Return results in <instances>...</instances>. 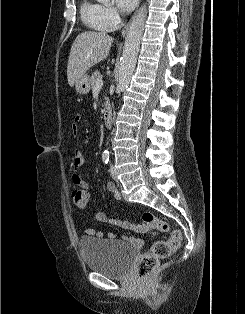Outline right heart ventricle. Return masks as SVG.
Returning <instances> with one entry per match:
<instances>
[{
    "label": "right heart ventricle",
    "mask_w": 245,
    "mask_h": 314,
    "mask_svg": "<svg viewBox=\"0 0 245 314\" xmlns=\"http://www.w3.org/2000/svg\"><path fill=\"white\" fill-rule=\"evenodd\" d=\"M80 14L82 21L90 28L97 31H104L100 27L99 15L100 5L89 0H84L80 6Z\"/></svg>",
    "instance_id": "e07e8e85"
}]
</instances>
